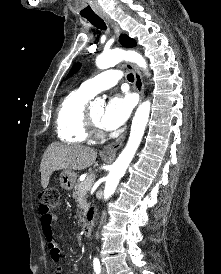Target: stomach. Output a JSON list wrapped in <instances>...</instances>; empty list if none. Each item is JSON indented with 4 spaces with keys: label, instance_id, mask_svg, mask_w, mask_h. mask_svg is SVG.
Wrapping results in <instances>:
<instances>
[{
    "label": "stomach",
    "instance_id": "0dacf381",
    "mask_svg": "<svg viewBox=\"0 0 221 274\" xmlns=\"http://www.w3.org/2000/svg\"><path fill=\"white\" fill-rule=\"evenodd\" d=\"M76 173L72 170H64L60 174V186L65 190H71L76 181Z\"/></svg>",
    "mask_w": 221,
    "mask_h": 274
}]
</instances>
